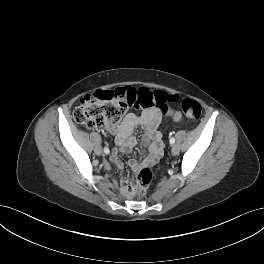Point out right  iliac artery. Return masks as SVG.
<instances>
[{
  "label": "right iliac artery",
  "instance_id": "1",
  "mask_svg": "<svg viewBox=\"0 0 264 264\" xmlns=\"http://www.w3.org/2000/svg\"><path fill=\"white\" fill-rule=\"evenodd\" d=\"M104 152H105L106 154H109V153H110V150H109L107 147H105V148H104Z\"/></svg>",
  "mask_w": 264,
  "mask_h": 264
}]
</instances>
